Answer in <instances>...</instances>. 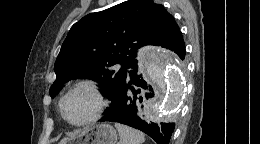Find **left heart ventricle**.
Returning <instances> with one entry per match:
<instances>
[{
    "label": "left heart ventricle",
    "instance_id": "b2bd125f",
    "mask_svg": "<svg viewBox=\"0 0 260 144\" xmlns=\"http://www.w3.org/2000/svg\"><path fill=\"white\" fill-rule=\"evenodd\" d=\"M96 104L93 94L88 89L80 88L67 98L64 112L71 122H81L93 114Z\"/></svg>",
    "mask_w": 260,
    "mask_h": 144
}]
</instances>
